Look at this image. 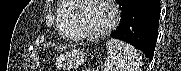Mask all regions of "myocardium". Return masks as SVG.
<instances>
[{
    "label": "myocardium",
    "mask_w": 181,
    "mask_h": 71,
    "mask_svg": "<svg viewBox=\"0 0 181 71\" xmlns=\"http://www.w3.org/2000/svg\"><path fill=\"white\" fill-rule=\"evenodd\" d=\"M66 1L71 2L75 5L73 15L71 18V22H70V25L73 30V37L75 39L97 40V39L103 38L106 35H108L116 27L117 19H118L117 13H116L114 7L111 5V3L106 0H95V1L99 2L102 6H104V8H106V10L108 11L109 17H110L109 23L104 29H102L101 31H98L96 33H93V34L81 32L78 29V17H79L80 11L84 5V1H88V0H66Z\"/></svg>",
    "instance_id": "f54148a6"
}]
</instances>
